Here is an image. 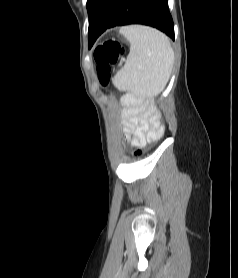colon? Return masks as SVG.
<instances>
[{"instance_id":"1","label":"colon","mask_w":238,"mask_h":278,"mask_svg":"<svg viewBox=\"0 0 238 278\" xmlns=\"http://www.w3.org/2000/svg\"><path fill=\"white\" fill-rule=\"evenodd\" d=\"M124 53V49L120 43L109 40L94 51V59L97 64L99 80L102 85H107L110 80V69ZM141 150L136 151V155H140Z\"/></svg>"}]
</instances>
